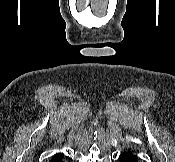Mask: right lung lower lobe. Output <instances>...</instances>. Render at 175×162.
<instances>
[{
  "label": "right lung lower lobe",
  "mask_w": 175,
  "mask_h": 162,
  "mask_svg": "<svg viewBox=\"0 0 175 162\" xmlns=\"http://www.w3.org/2000/svg\"><path fill=\"white\" fill-rule=\"evenodd\" d=\"M62 157L63 155L56 154L51 158L50 162H62Z\"/></svg>",
  "instance_id": "obj_1"
}]
</instances>
